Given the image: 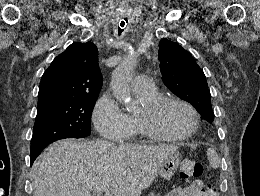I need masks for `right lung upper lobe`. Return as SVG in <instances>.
Listing matches in <instances>:
<instances>
[{"mask_svg":"<svg viewBox=\"0 0 260 196\" xmlns=\"http://www.w3.org/2000/svg\"><path fill=\"white\" fill-rule=\"evenodd\" d=\"M102 76L97 47L92 42L71 44L44 72L38 106L80 95H99Z\"/></svg>","mask_w":260,"mask_h":196,"instance_id":"1","label":"right lung upper lobe"}]
</instances>
